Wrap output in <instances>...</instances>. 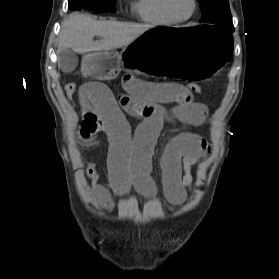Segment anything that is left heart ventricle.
<instances>
[{
    "mask_svg": "<svg viewBox=\"0 0 279 279\" xmlns=\"http://www.w3.org/2000/svg\"><path fill=\"white\" fill-rule=\"evenodd\" d=\"M169 8L177 17H186L190 14L192 0H168Z\"/></svg>",
    "mask_w": 279,
    "mask_h": 279,
    "instance_id": "left-heart-ventricle-1",
    "label": "left heart ventricle"
}]
</instances>
